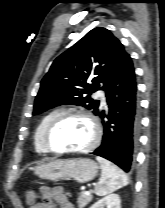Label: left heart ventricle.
<instances>
[{
	"label": "left heart ventricle",
	"instance_id": "b2bd125f",
	"mask_svg": "<svg viewBox=\"0 0 165 208\" xmlns=\"http://www.w3.org/2000/svg\"><path fill=\"white\" fill-rule=\"evenodd\" d=\"M90 123L80 117H69L60 122L50 135V142L57 149H78L92 139Z\"/></svg>",
	"mask_w": 165,
	"mask_h": 208
}]
</instances>
